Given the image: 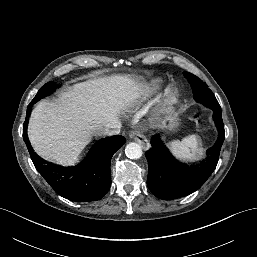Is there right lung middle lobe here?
<instances>
[{"mask_svg": "<svg viewBox=\"0 0 257 257\" xmlns=\"http://www.w3.org/2000/svg\"><path fill=\"white\" fill-rule=\"evenodd\" d=\"M56 85H54V82L50 81L47 84H45L37 93V95L34 97V99L31 101V104L33 105L36 103L39 99L42 97H45L52 93L54 91V88Z\"/></svg>", "mask_w": 257, "mask_h": 257, "instance_id": "1", "label": "right lung middle lobe"}]
</instances>
